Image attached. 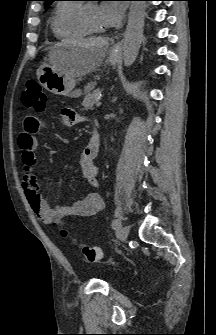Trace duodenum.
Listing matches in <instances>:
<instances>
[{
  "label": "duodenum",
  "mask_w": 216,
  "mask_h": 335,
  "mask_svg": "<svg viewBox=\"0 0 216 335\" xmlns=\"http://www.w3.org/2000/svg\"><path fill=\"white\" fill-rule=\"evenodd\" d=\"M93 136H94L95 139H99V135H98L97 131L93 132Z\"/></svg>",
  "instance_id": "410a0bca"
}]
</instances>
